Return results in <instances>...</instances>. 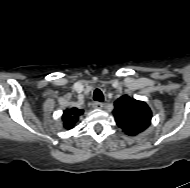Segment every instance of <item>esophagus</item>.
<instances>
[{
	"mask_svg": "<svg viewBox=\"0 0 190 188\" xmlns=\"http://www.w3.org/2000/svg\"><path fill=\"white\" fill-rule=\"evenodd\" d=\"M92 107H93L94 109H102V108L104 107V104L101 103V102H93V103H92Z\"/></svg>",
	"mask_w": 190,
	"mask_h": 188,
	"instance_id": "34e87169",
	"label": "esophagus"
}]
</instances>
